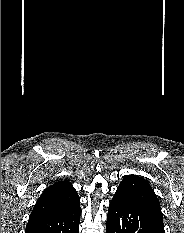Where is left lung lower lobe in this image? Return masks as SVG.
Wrapping results in <instances>:
<instances>
[{"mask_svg": "<svg viewBox=\"0 0 184 233\" xmlns=\"http://www.w3.org/2000/svg\"><path fill=\"white\" fill-rule=\"evenodd\" d=\"M106 233H165L143 207L115 193L109 205Z\"/></svg>", "mask_w": 184, "mask_h": 233, "instance_id": "1", "label": "left lung lower lobe"}]
</instances>
